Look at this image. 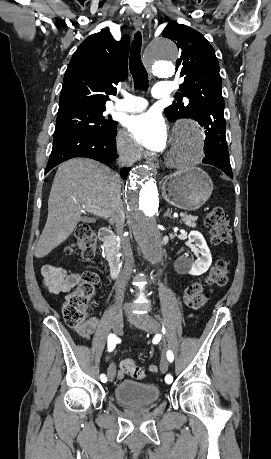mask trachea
Segmentation results:
<instances>
[{
  "label": "trachea",
  "mask_w": 271,
  "mask_h": 459,
  "mask_svg": "<svg viewBox=\"0 0 271 459\" xmlns=\"http://www.w3.org/2000/svg\"><path fill=\"white\" fill-rule=\"evenodd\" d=\"M141 44V34L137 32L131 45L129 69L134 79V88L147 91L149 88V80L147 71L141 61Z\"/></svg>",
  "instance_id": "3493384b"
}]
</instances>
